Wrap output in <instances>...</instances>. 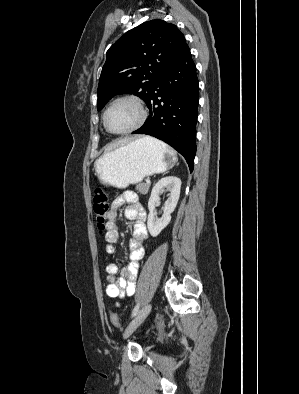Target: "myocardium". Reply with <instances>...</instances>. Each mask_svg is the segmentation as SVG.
Listing matches in <instances>:
<instances>
[{"mask_svg":"<svg viewBox=\"0 0 299 394\" xmlns=\"http://www.w3.org/2000/svg\"><path fill=\"white\" fill-rule=\"evenodd\" d=\"M122 101H127V102H131L133 103L139 112V117L137 122L131 126L130 128L124 130V131H120V132H115L109 129L108 125H107V114L109 112V110L118 102H122ZM147 119V110L143 104V102L135 97V96H130V95H124V96H120L115 98L113 101H111L109 103V105L106 107L104 113H103V125L104 128L106 129L107 132L113 134V135H126V134H130L136 130H138L140 127L143 126V124L145 123Z\"/></svg>","mask_w":299,"mask_h":394,"instance_id":"obj_1","label":"myocardium"}]
</instances>
